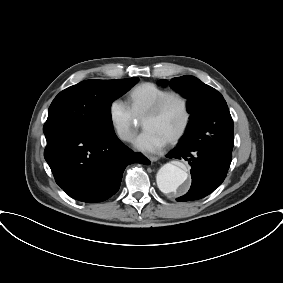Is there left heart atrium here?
<instances>
[{
    "mask_svg": "<svg viewBox=\"0 0 283 283\" xmlns=\"http://www.w3.org/2000/svg\"><path fill=\"white\" fill-rule=\"evenodd\" d=\"M166 143L167 140L163 136L147 129L136 138L134 145L143 152H156L165 146Z\"/></svg>",
    "mask_w": 283,
    "mask_h": 283,
    "instance_id": "obj_1",
    "label": "left heart atrium"
}]
</instances>
